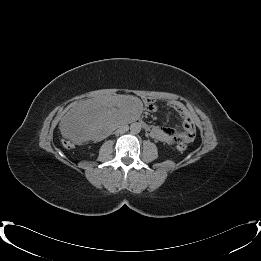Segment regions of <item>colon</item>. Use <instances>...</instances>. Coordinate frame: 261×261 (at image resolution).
<instances>
[{"label":"colon","instance_id":"1","mask_svg":"<svg viewBox=\"0 0 261 261\" xmlns=\"http://www.w3.org/2000/svg\"><path fill=\"white\" fill-rule=\"evenodd\" d=\"M176 148L180 152H184L187 149V143L183 140H178L176 142Z\"/></svg>","mask_w":261,"mask_h":261}]
</instances>
